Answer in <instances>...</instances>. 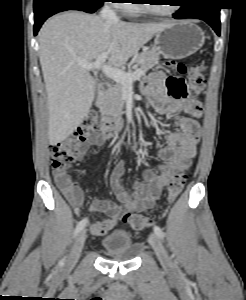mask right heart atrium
Masks as SVG:
<instances>
[{
	"instance_id": "right-heart-atrium-1",
	"label": "right heart atrium",
	"mask_w": 246,
	"mask_h": 300,
	"mask_svg": "<svg viewBox=\"0 0 246 300\" xmlns=\"http://www.w3.org/2000/svg\"><path fill=\"white\" fill-rule=\"evenodd\" d=\"M122 1H125V0H115V3H114L115 6L118 7V8H120V7L123 8V6H125L126 4L125 5L120 4V2H122Z\"/></svg>"
}]
</instances>
